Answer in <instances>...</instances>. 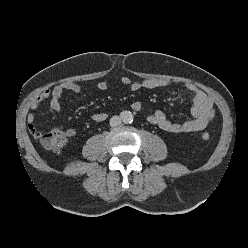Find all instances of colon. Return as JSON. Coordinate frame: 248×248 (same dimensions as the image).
<instances>
[{"label":"colon","mask_w":248,"mask_h":248,"mask_svg":"<svg viewBox=\"0 0 248 248\" xmlns=\"http://www.w3.org/2000/svg\"><path fill=\"white\" fill-rule=\"evenodd\" d=\"M201 137L203 140L207 141L210 138V134L204 132ZM39 139L44 147L54 152L61 150L67 143L66 135L56 128L47 133H41Z\"/></svg>","instance_id":"obj_1"}]
</instances>
